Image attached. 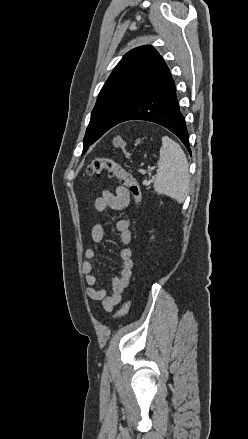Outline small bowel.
Listing matches in <instances>:
<instances>
[{
    "label": "small bowel",
    "mask_w": 248,
    "mask_h": 439,
    "mask_svg": "<svg viewBox=\"0 0 248 439\" xmlns=\"http://www.w3.org/2000/svg\"><path fill=\"white\" fill-rule=\"evenodd\" d=\"M130 203V193L125 186H118L115 192L104 190L102 195L97 197L94 202L95 209L98 212H104L108 208L113 210H122ZM116 229L119 233L120 241L128 245L132 240L130 222L126 218H120L116 221ZM91 239L94 243H101L104 239V227L101 223L95 224L91 230ZM86 260L82 264V271L85 274V283L87 296L97 302H100L103 309L112 312L116 305L122 300V294L128 287L134 262L132 260V251L129 247H123L120 250L122 269L118 276H113L111 281L110 292L103 288H94L98 283V278L94 274L95 265L93 259L96 255L94 248H87L84 252Z\"/></svg>",
    "instance_id": "obj_1"
}]
</instances>
